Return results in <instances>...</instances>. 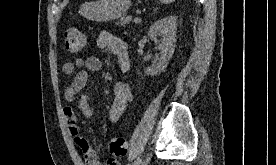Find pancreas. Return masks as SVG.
<instances>
[{
  "mask_svg": "<svg viewBox=\"0 0 276 165\" xmlns=\"http://www.w3.org/2000/svg\"><path fill=\"white\" fill-rule=\"evenodd\" d=\"M130 21H131V17L123 18V19H121V21H120V25H121V26H124L125 24L129 23Z\"/></svg>",
  "mask_w": 276,
  "mask_h": 165,
  "instance_id": "1",
  "label": "pancreas"
}]
</instances>
